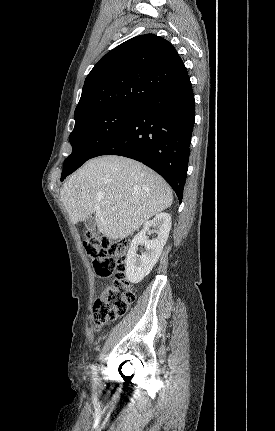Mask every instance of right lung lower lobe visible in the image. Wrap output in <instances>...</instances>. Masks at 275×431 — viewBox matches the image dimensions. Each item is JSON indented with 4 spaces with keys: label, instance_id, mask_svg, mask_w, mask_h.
<instances>
[{
    "label": "right lung lower lobe",
    "instance_id": "right-lung-lower-lobe-1",
    "mask_svg": "<svg viewBox=\"0 0 275 431\" xmlns=\"http://www.w3.org/2000/svg\"><path fill=\"white\" fill-rule=\"evenodd\" d=\"M194 109L192 84L187 75L140 105L130 122L93 157L120 155L142 162L170 184L181 203Z\"/></svg>",
    "mask_w": 275,
    "mask_h": 431
}]
</instances>
